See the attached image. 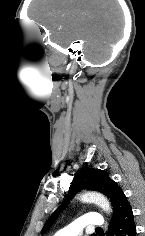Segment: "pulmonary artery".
I'll use <instances>...</instances> for the list:
<instances>
[{
    "instance_id": "pulmonary-artery-1",
    "label": "pulmonary artery",
    "mask_w": 145,
    "mask_h": 236,
    "mask_svg": "<svg viewBox=\"0 0 145 236\" xmlns=\"http://www.w3.org/2000/svg\"><path fill=\"white\" fill-rule=\"evenodd\" d=\"M104 224V220L100 214H85L68 226L59 230L54 236H80L85 227H101Z\"/></svg>"
}]
</instances>
